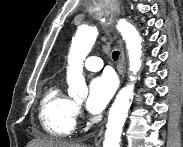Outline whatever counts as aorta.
Returning a JSON list of instances; mask_svg holds the SVG:
<instances>
[{"instance_id":"1","label":"aorta","mask_w":183,"mask_h":147,"mask_svg":"<svg viewBox=\"0 0 183 147\" xmlns=\"http://www.w3.org/2000/svg\"><path fill=\"white\" fill-rule=\"evenodd\" d=\"M117 29L121 32L126 43L129 70L132 75L130 76L131 83L118 92L110 108L103 147H120L122 128L131 105L130 99L133 95L135 75L142 65L141 37L137 29L123 19L118 21ZM97 35L98 30L96 26H83L78 28L73 38L67 67L68 94L73 98H86L88 95V88L82 73V64L93 47Z\"/></svg>"}]
</instances>
